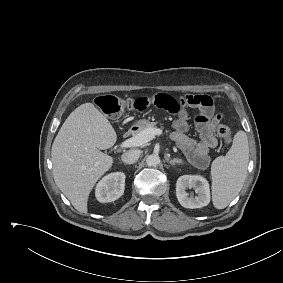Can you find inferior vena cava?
I'll use <instances>...</instances> for the list:
<instances>
[{"instance_id": "obj_1", "label": "inferior vena cava", "mask_w": 283, "mask_h": 283, "mask_svg": "<svg viewBox=\"0 0 283 283\" xmlns=\"http://www.w3.org/2000/svg\"><path fill=\"white\" fill-rule=\"evenodd\" d=\"M140 154L141 152L139 150L133 149L123 153L121 158L124 163L133 164L138 160Z\"/></svg>"}]
</instances>
